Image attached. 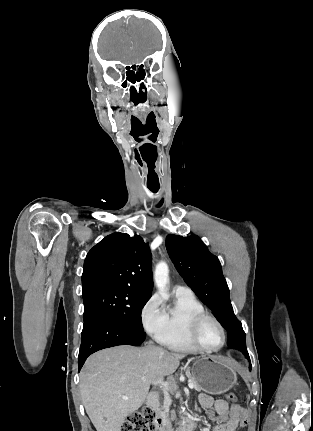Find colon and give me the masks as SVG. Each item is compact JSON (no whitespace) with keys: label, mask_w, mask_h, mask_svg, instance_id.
<instances>
[{"label":"colon","mask_w":313,"mask_h":431,"mask_svg":"<svg viewBox=\"0 0 313 431\" xmlns=\"http://www.w3.org/2000/svg\"><path fill=\"white\" fill-rule=\"evenodd\" d=\"M226 398L234 401L236 396L234 393L229 392L226 394ZM155 417L156 414L153 409L144 407L142 410L132 413L123 422L120 431H156Z\"/></svg>","instance_id":"5ec220e1"}]
</instances>
